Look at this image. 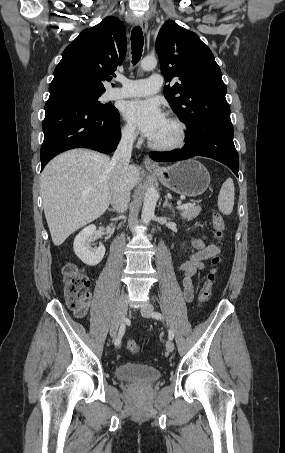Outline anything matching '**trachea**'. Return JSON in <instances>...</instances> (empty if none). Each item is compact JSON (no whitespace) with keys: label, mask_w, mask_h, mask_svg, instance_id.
<instances>
[{"label":"trachea","mask_w":285,"mask_h":453,"mask_svg":"<svg viewBox=\"0 0 285 453\" xmlns=\"http://www.w3.org/2000/svg\"><path fill=\"white\" fill-rule=\"evenodd\" d=\"M144 38L142 29L135 27L131 33L132 63L135 65L139 62L143 51Z\"/></svg>","instance_id":"1"}]
</instances>
